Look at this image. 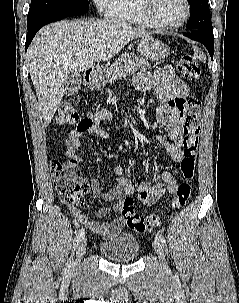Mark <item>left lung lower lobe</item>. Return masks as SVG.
Wrapping results in <instances>:
<instances>
[{
    "label": "left lung lower lobe",
    "mask_w": 239,
    "mask_h": 303,
    "mask_svg": "<svg viewBox=\"0 0 239 303\" xmlns=\"http://www.w3.org/2000/svg\"><path fill=\"white\" fill-rule=\"evenodd\" d=\"M183 35L192 40L202 43L207 48V50L211 56V59H213V51H214L213 31L197 30V31L189 32V33H183Z\"/></svg>",
    "instance_id": "1"
}]
</instances>
